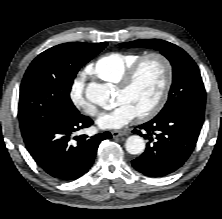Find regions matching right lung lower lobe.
<instances>
[{
  "instance_id": "obj_1",
  "label": "right lung lower lobe",
  "mask_w": 222,
  "mask_h": 219,
  "mask_svg": "<svg viewBox=\"0 0 222 219\" xmlns=\"http://www.w3.org/2000/svg\"><path fill=\"white\" fill-rule=\"evenodd\" d=\"M93 121L77 112H63L30 134L23 135L35 162L51 177L72 181L88 172L101 141L109 132L73 137L74 132L90 127Z\"/></svg>"
}]
</instances>
